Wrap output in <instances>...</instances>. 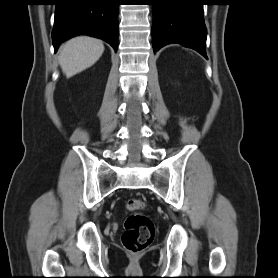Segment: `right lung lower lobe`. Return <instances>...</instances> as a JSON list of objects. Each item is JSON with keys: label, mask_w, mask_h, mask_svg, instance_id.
Segmentation results:
<instances>
[{"label": "right lung lower lobe", "mask_w": 278, "mask_h": 278, "mask_svg": "<svg viewBox=\"0 0 278 278\" xmlns=\"http://www.w3.org/2000/svg\"><path fill=\"white\" fill-rule=\"evenodd\" d=\"M55 5V52L62 42L81 34L102 39L117 52L118 0H56Z\"/></svg>", "instance_id": "obj_1"}]
</instances>
